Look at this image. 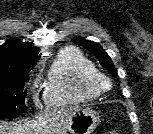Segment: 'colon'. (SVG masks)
I'll return each mask as SVG.
<instances>
[{"label": "colon", "mask_w": 153, "mask_h": 134, "mask_svg": "<svg viewBox=\"0 0 153 134\" xmlns=\"http://www.w3.org/2000/svg\"><path fill=\"white\" fill-rule=\"evenodd\" d=\"M106 134H120V133H118L116 131H110V132H107Z\"/></svg>", "instance_id": "obj_1"}]
</instances>
